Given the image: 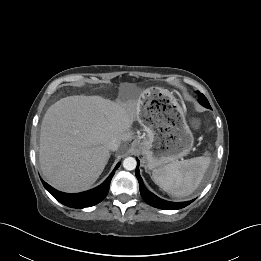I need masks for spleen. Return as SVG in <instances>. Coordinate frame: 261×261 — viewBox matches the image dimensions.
I'll use <instances>...</instances> for the list:
<instances>
[{
  "label": "spleen",
  "mask_w": 261,
  "mask_h": 261,
  "mask_svg": "<svg viewBox=\"0 0 261 261\" xmlns=\"http://www.w3.org/2000/svg\"><path fill=\"white\" fill-rule=\"evenodd\" d=\"M210 157H195L183 161H174L152 172V180L170 195L184 197L192 194L209 167Z\"/></svg>",
  "instance_id": "3e777b00"
}]
</instances>
